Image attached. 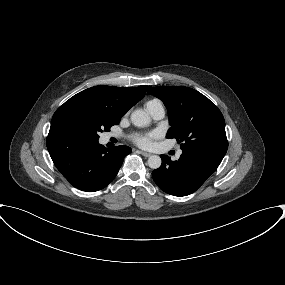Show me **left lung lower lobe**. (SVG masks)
<instances>
[{
    "instance_id": "left-lung-lower-lobe-1",
    "label": "left lung lower lobe",
    "mask_w": 285,
    "mask_h": 285,
    "mask_svg": "<svg viewBox=\"0 0 285 285\" xmlns=\"http://www.w3.org/2000/svg\"><path fill=\"white\" fill-rule=\"evenodd\" d=\"M223 157L199 150H183L177 161L161 155L162 165L152 172V177L164 192L186 196L195 192L215 172Z\"/></svg>"
}]
</instances>
